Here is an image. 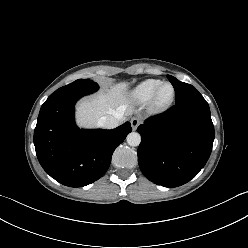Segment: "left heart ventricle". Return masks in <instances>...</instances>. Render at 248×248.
I'll list each match as a JSON object with an SVG mask.
<instances>
[{"label":"left heart ventricle","mask_w":248,"mask_h":248,"mask_svg":"<svg viewBox=\"0 0 248 248\" xmlns=\"http://www.w3.org/2000/svg\"><path fill=\"white\" fill-rule=\"evenodd\" d=\"M172 94V89L170 86H166L162 89L161 93H160V99L162 101H166L170 98Z\"/></svg>","instance_id":"obj_1"}]
</instances>
